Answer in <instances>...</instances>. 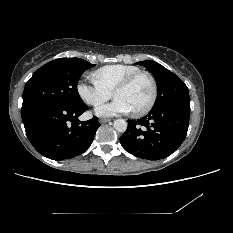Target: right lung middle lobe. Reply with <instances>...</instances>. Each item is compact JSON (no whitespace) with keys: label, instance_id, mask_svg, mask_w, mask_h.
I'll return each instance as SVG.
<instances>
[{"label":"right lung middle lobe","instance_id":"1","mask_svg":"<svg viewBox=\"0 0 233 233\" xmlns=\"http://www.w3.org/2000/svg\"><path fill=\"white\" fill-rule=\"evenodd\" d=\"M93 66L79 58H59L43 65L25 85L21 111L44 103L81 105L77 83L82 73Z\"/></svg>","mask_w":233,"mask_h":233}]
</instances>
